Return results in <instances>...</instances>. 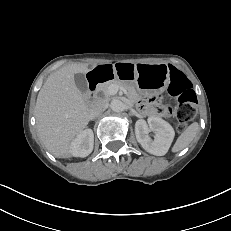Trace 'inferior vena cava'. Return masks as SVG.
Listing matches in <instances>:
<instances>
[{
    "label": "inferior vena cava",
    "mask_w": 231,
    "mask_h": 231,
    "mask_svg": "<svg viewBox=\"0 0 231 231\" xmlns=\"http://www.w3.org/2000/svg\"><path fill=\"white\" fill-rule=\"evenodd\" d=\"M105 108H106V104L103 101L95 102L91 108L90 117L94 118L100 115L104 111Z\"/></svg>",
    "instance_id": "obj_1"
}]
</instances>
